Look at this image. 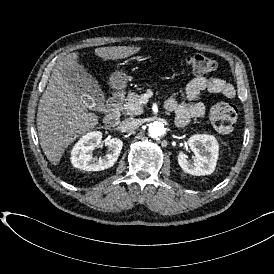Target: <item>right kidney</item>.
<instances>
[{"mask_svg":"<svg viewBox=\"0 0 274 274\" xmlns=\"http://www.w3.org/2000/svg\"><path fill=\"white\" fill-rule=\"evenodd\" d=\"M101 140L102 134L99 131L84 135L74 146L72 164L85 171H102L112 167L120 156L123 142L116 137L104 140L103 143L108 147L107 154L99 159L93 158L92 152L100 146Z\"/></svg>","mask_w":274,"mask_h":274,"instance_id":"obj_1","label":"right kidney"}]
</instances>
